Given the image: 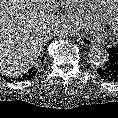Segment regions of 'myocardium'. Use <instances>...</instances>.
Masks as SVG:
<instances>
[{
    "label": "myocardium",
    "instance_id": "1",
    "mask_svg": "<svg viewBox=\"0 0 118 118\" xmlns=\"http://www.w3.org/2000/svg\"><path fill=\"white\" fill-rule=\"evenodd\" d=\"M116 1L112 3L111 16L107 22L110 24V33L118 38V0ZM100 23L103 22H96L95 26L98 28Z\"/></svg>",
    "mask_w": 118,
    "mask_h": 118
}]
</instances>
